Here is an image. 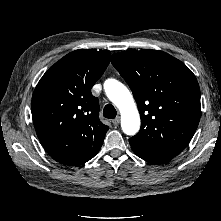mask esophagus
<instances>
[{"mask_svg": "<svg viewBox=\"0 0 221 221\" xmlns=\"http://www.w3.org/2000/svg\"><path fill=\"white\" fill-rule=\"evenodd\" d=\"M112 122L115 126L118 125L120 123V117H116Z\"/></svg>", "mask_w": 221, "mask_h": 221, "instance_id": "esophagus-1", "label": "esophagus"}]
</instances>
